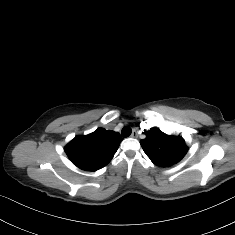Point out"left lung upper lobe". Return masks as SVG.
Returning a JSON list of instances; mask_svg holds the SVG:
<instances>
[{
  "label": "left lung upper lobe",
  "instance_id": "1",
  "mask_svg": "<svg viewBox=\"0 0 235 235\" xmlns=\"http://www.w3.org/2000/svg\"><path fill=\"white\" fill-rule=\"evenodd\" d=\"M144 133L146 138L141 140L140 144L150 160L157 166L168 167L174 165L188 151L184 139L180 136L167 135L156 127Z\"/></svg>",
  "mask_w": 235,
  "mask_h": 235
}]
</instances>
